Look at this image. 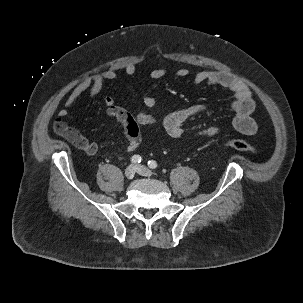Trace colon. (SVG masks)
Listing matches in <instances>:
<instances>
[{
    "mask_svg": "<svg viewBox=\"0 0 303 303\" xmlns=\"http://www.w3.org/2000/svg\"><path fill=\"white\" fill-rule=\"evenodd\" d=\"M224 144L236 150L250 152L253 154H257L259 152L257 147L251 145L250 143L242 139H227L225 140Z\"/></svg>",
    "mask_w": 303,
    "mask_h": 303,
    "instance_id": "colon-1",
    "label": "colon"
}]
</instances>
